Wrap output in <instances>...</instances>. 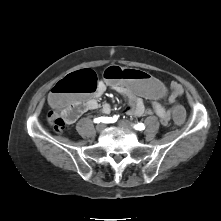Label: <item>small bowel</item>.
Wrapping results in <instances>:
<instances>
[{
    "label": "small bowel",
    "mask_w": 221,
    "mask_h": 221,
    "mask_svg": "<svg viewBox=\"0 0 221 221\" xmlns=\"http://www.w3.org/2000/svg\"><path fill=\"white\" fill-rule=\"evenodd\" d=\"M110 87L112 90L122 95L128 100V105L125 108V113L132 116H143L155 114L159 117L163 125L168 124L169 119V108H166L159 100L152 101V106L150 109H146L143 97L136 95L130 87L123 84L111 85L106 81H99L96 90L91 94H84L80 96L76 103L78 105L77 111L71 117V124L74 123L81 114L86 111H94L99 108V99L106 92L107 88ZM166 95H168V100L170 104L177 102L178 98L183 94V88L178 82H171L170 87L167 88ZM164 96V97H165ZM163 97V98H164ZM147 99V98H146ZM102 113L109 114L111 112V106L105 103L101 108Z\"/></svg>",
    "instance_id": "obj_1"
}]
</instances>
